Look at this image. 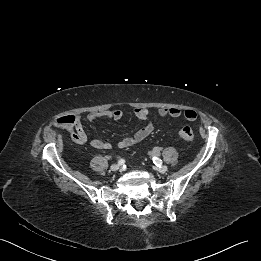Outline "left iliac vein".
<instances>
[{"instance_id":"1","label":"left iliac vein","mask_w":261,"mask_h":261,"mask_svg":"<svg viewBox=\"0 0 261 261\" xmlns=\"http://www.w3.org/2000/svg\"><path fill=\"white\" fill-rule=\"evenodd\" d=\"M156 170L160 173H165V172H167L168 168H167V166H161V167L156 168Z\"/></svg>"}]
</instances>
